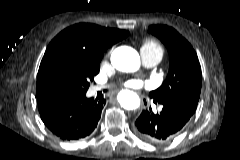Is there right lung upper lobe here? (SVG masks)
<instances>
[{
  "instance_id": "obj_1",
  "label": "right lung upper lobe",
  "mask_w": 240,
  "mask_h": 160,
  "mask_svg": "<svg viewBox=\"0 0 240 160\" xmlns=\"http://www.w3.org/2000/svg\"><path fill=\"white\" fill-rule=\"evenodd\" d=\"M129 35L128 31L104 28L94 24L80 23L60 32L49 44L41 61L37 75V100L47 94L43 78L46 70L68 56H82L89 59H102L104 51Z\"/></svg>"
}]
</instances>
